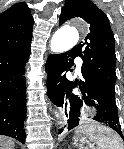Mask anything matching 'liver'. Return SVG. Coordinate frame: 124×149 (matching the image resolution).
<instances>
[{"instance_id":"1","label":"liver","mask_w":124,"mask_h":149,"mask_svg":"<svg viewBox=\"0 0 124 149\" xmlns=\"http://www.w3.org/2000/svg\"><path fill=\"white\" fill-rule=\"evenodd\" d=\"M14 143L6 138L0 135V149H14Z\"/></svg>"}]
</instances>
